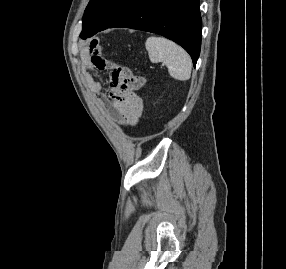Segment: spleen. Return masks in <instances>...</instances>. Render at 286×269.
I'll return each mask as SVG.
<instances>
[{
    "instance_id": "spleen-1",
    "label": "spleen",
    "mask_w": 286,
    "mask_h": 269,
    "mask_svg": "<svg viewBox=\"0 0 286 269\" xmlns=\"http://www.w3.org/2000/svg\"><path fill=\"white\" fill-rule=\"evenodd\" d=\"M152 62H163L171 77L186 81L190 79L192 61L179 45L162 37H149L145 42Z\"/></svg>"
}]
</instances>
